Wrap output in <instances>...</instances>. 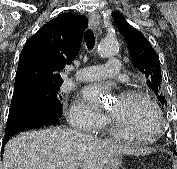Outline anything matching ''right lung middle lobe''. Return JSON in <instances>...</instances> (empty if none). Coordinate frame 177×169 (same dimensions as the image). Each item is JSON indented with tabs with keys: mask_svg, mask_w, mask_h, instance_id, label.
Returning a JSON list of instances; mask_svg holds the SVG:
<instances>
[{
	"mask_svg": "<svg viewBox=\"0 0 177 169\" xmlns=\"http://www.w3.org/2000/svg\"><path fill=\"white\" fill-rule=\"evenodd\" d=\"M60 86L61 84L26 83L17 92H14L11 106L31 105L61 113L62 96L59 93Z\"/></svg>",
	"mask_w": 177,
	"mask_h": 169,
	"instance_id": "1",
	"label": "right lung middle lobe"
}]
</instances>
